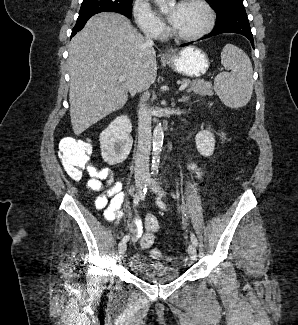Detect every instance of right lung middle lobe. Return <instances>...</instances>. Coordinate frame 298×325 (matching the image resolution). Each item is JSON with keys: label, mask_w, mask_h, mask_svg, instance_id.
<instances>
[{"label": "right lung middle lobe", "mask_w": 298, "mask_h": 325, "mask_svg": "<svg viewBox=\"0 0 298 325\" xmlns=\"http://www.w3.org/2000/svg\"><path fill=\"white\" fill-rule=\"evenodd\" d=\"M103 11L118 12L132 17V0H83L78 19H85Z\"/></svg>", "instance_id": "dd1d6c3e"}]
</instances>
